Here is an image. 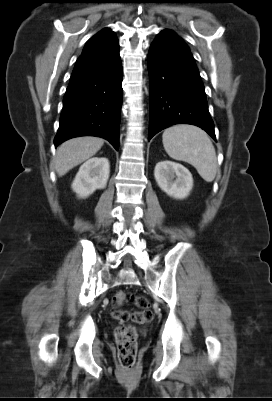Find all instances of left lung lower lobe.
Wrapping results in <instances>:
<instances>
[{
	"instance_id": "1",
	"label": "left lung lower lobe",
	"mask_w": 272,
	"mask_h": 401,
	"mask_svg": "<svg viewBox=\"0 0 272 401\" xmlns=\"http://www.w3.org/2000/svg\"><path fill=\"white\" fill-rule=\"evenodd\" d=\"M150 125L148 140L174 124H192L215 141L204 85L186 43L172 30L161 31L148 54Z\"/></svg>"
}]
</instances>
